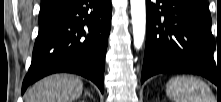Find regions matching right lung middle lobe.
Returning <instances> with one entry per match:
<instances>
[{"label":"right lung middle lobe","instance_id":"dd1d6c3e","mask_svg":"<svg viewBox=\"0 0 221 102\" xmlns=\"http://www.w3.org/2000/svg\"><path fill=\"white\" fill-rule=\"evenodd\" d=\"M50 12H51V11H48V10H46V11H40L39 18L44 17L45 15H47V14L50 13Z\"/></svg>","mask_w":221,"mask_h":102}]
</instances>
